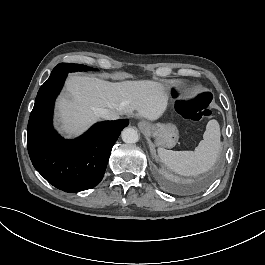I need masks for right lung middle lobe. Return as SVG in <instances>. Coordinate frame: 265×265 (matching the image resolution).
I'll use <instances>...</instances> for the list:
<instances>
[{"label": "right lung middle lobe", "instance_id": "obj_1", "mask_svg": "<svg viewBox=\"0 0 265 265\" xmlns=\"http://www.w3.org/2000/svg\"><path fill=\"white\" fill-rule=\"evenodd\" d=\"M92 68L87 67L81 64H73V63H60L58 64L54 70L52 71L50 77H54L59 74L69 73V72H76V71H87L91 70Z\"/></svg>", "mask_w": 265, "mask_h": 265}]
</instances>
